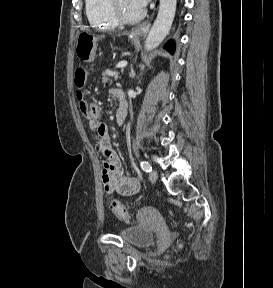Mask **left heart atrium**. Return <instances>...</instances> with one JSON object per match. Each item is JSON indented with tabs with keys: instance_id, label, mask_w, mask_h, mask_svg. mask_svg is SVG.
<instances>
[{
	"instance_id": "1",
	"label": "left heart atrium",
	"mask_w": 273,
	"mask_h": 288,
	"mask_svg": "<svg viewBox=\"0 0 273 288\" xmlns=\"http://www.w3.org/2000/svg\"><path fill=\"white\" fill-rule=\"evenodd\" d=\"M133 1L136 4V6L141 10H143L148 3V0H133Z\"/></svg>"
}]
</instances>
